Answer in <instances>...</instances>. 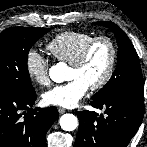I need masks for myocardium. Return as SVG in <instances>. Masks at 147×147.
Wrapping results in <instances>:
<instances>
[{"mask_svg": "<svg viewBox=\"0 0 147 147\" xmlns=\"http://www.w3.org/2000/svg\"><path fill=\"white\" fill-rule=\"evenodd\" d=\"M99 42H105L108 44L110 48V61H109L108 67L103 77L97 83L90 86V89L93 91H97V90L104 88L109 83V81L111 80L113 76V73L116 68L117 56H118L117 46L114 40L111 37L106 36V35H100V36H96L92 38L83 47V49L81 50L77 58L70 64V66L74 68L82 67L85 64L93 47Z\"/></svg>", "mask_w": 147, "mask_h": 147, "instance_id": "1", "label": "myocardium"}]
</instances>
